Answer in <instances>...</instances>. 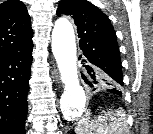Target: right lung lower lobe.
I'll return each mask as SVG.
<instances>
[{"label": "right lung lower lobe", "mask_w": 153, "mask_h": 134, "mask_svg": "<svg viewBox=\"0 0 153 134\" xmlns=\"http://www.w3.org/2000/svg\"><path fill=\"white\" fill-rule=\"evenodd\" d=\"M32 49L0 58V134H25Z\"/></svg>", "instance_id": "1"}]
</instances>
